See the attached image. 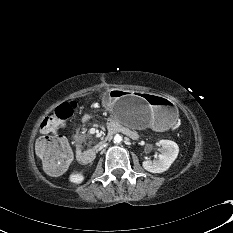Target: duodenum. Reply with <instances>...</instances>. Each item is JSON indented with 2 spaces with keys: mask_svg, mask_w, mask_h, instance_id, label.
I'll use <instances>...</instances> for the list:
<instances>
[{
  "mask_svg": "<svg viewBox=\"0 0 233 233\" xmlns=\"http://www.w3.org/2000/svg\"><path fill=\"white\" fill-rule=\"evenodd\" d=\"M116 133H123L129 136H132L133 133L128 130L127 128L117 124V123H111L109 125V129L107 134L104 136L103 138V142H107L109 141L113 135H115ZM96 149H90V150H79L78 151V160L82 163V164H89L91 162L94 161V159L96 158Z\"/></svg>",
  "mask_w": 233,
  "mask_h": 233,
  "instance_id": "duodenum-1",
  "label": "duodenum"
}]
</instances>
